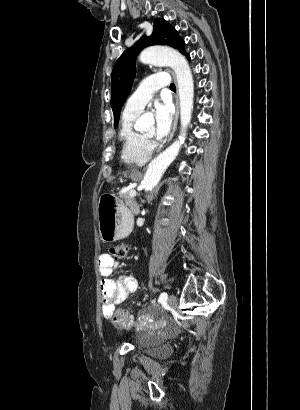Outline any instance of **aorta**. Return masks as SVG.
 Here are the masks:
<instances>
[{
    "label": "aorta",
    "mask_w": 300,
    "mask_h": 410,
    "mask_svg": "<svg viewBox=\"0 0 300 410\" xmlns=\"http://www.w3.org/2000/svg\"><path fill=\"white\" fill-rule=\"evenodd\" d=\"M139 60L144 64L171 67L176 74L180 99L181 133L175 142L149 164L142 182L145 192H149L159 183L163 173L175 160L185 141L186 128L191 121L193 109L194 84L187 60L181 53L174 49L149 47L141 52ZM152 124V120L143 116L137 120L136 127L137 129L144 130Z\"/></svg>",
    "instance_id": "1"
}]
</instances>
